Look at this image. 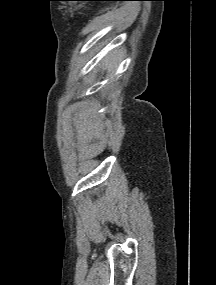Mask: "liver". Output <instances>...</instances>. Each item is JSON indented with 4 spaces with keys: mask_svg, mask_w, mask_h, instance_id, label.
Listing matches in <instances>:
<instances>
[{
    "mask_svg": "<svg viewBox=\"0 0 216 285\" xmlns=\"http://www.w3.org/2000/svg\"><path fill=\"white\" fill-rule=\"evenodd\" d=\"M118 61L119 57L117 55L109 54L103 60V65L109 70H112L117 65Z\"/></svg>",
    "mask_w": 216,
    "mask_h": 285,
    "instance_id": "obj_1",
    "label": "liver"
}]
</instances>
